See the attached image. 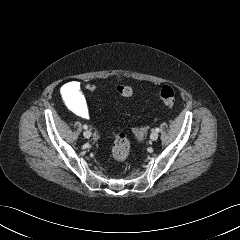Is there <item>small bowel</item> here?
<instances>
[{
    "instance_id": "obj_1",
    "label": "small bowel",
    "mask_w": 240,
    "mask_h": 240,
    "mask_svg": "<svg viewBox=\"0 0 240 240\" xmlns=\"http://www.w3.org/2000/svg\"><path fill=\"white\" fill-rule=\"evenodd\" d=\"M62 96L67 106L77 115L87 118L89 109L85 97L81 91L80 84L76 81H70L61 89ZM134 137L137 141H143L147 134L146 126H138L133 129Z\"/></svg>"
}]
</instances>
